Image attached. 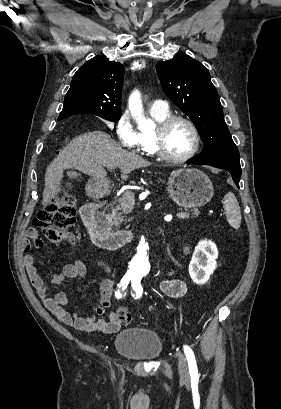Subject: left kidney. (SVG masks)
Here are the masks:
<instances>
[{
    "instance_id": "obj_1",
    "label": "left kidney",
    "mask_w": 281,
    "mask_h": 409,
    "mask_svg": "<svg viewBox=\"0 0 281 409\" xmlns=\"http://www.w3.org/2000/svg\"><path fill=\"white\" fill-rule=\"evenodd\" d=\"M218 249L212 241H199L189 265V275L196 285H204L217 267Z\"/></svg>"
}]
</instances>
